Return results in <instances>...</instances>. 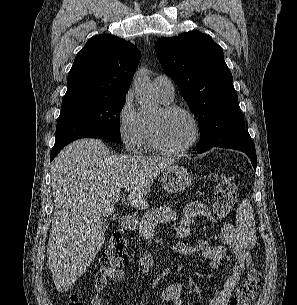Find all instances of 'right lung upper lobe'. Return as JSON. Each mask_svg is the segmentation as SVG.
Segmentation results:
<instances>
[{
  "label": "right lung upper lobe",
  "mask_w": 297,
  "mask_h": 305,
  "mask_svg": "<svg viewBox=\"0 0 297 305\" xmlns=\"http://www.w3.org/2000/svg\"><path fill=\"white\" fill-rule=\"evenodd\" d=\"M140 57L136 46L116 36L90 38L76 55L62 102L90 96L126 95Z\"/></svg>",
  "instance_id": "right-lung-upper-lobe-1"
}]
</instances>
